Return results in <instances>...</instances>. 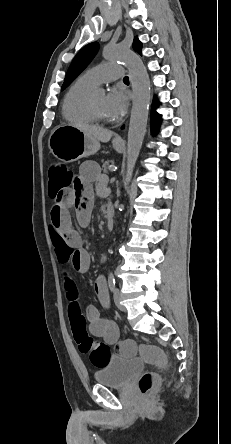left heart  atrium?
<instances>
[{"label":"left heart atrium","mask_w":231,"mask_h":444,"mask_svg":"<svg viewBox=\"0 0 231 444\" xmlns=\"http://www.w3.org/2000/svg\"><path fill=\"white\" fill-rule=\"evenodd\" d=\"M127 96L122 89L111 90L105 99V108L111 118L122 116L127 109Z\"/></svg>","instance_id":"left-heart-atrium-1"}]
</instances>
